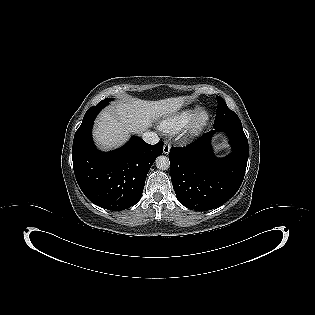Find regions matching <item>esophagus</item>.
<instances>
[{"label":"esophagus","mask_w":315,"mask_h":315,"mask_svg":"<svg viewBox=\"0 0 315 315\" xmlns=\"http://www.w3.org/2000/svg\"><path fill=\"white\" fill-rule=\"evenodd\" d=\"M170 144L168 143V142H165L164 143V146H163V153L164 154H169V152H170Z\"/></svg>","instance_id":"1"}]
</instances>
